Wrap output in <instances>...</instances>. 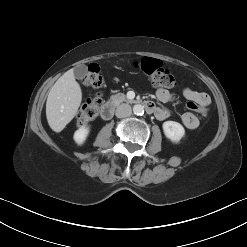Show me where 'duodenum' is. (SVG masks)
<instances>
[{
	"instance_id": "duodenum-1",
	"label": "duodenum",
	"mask_w": 247,
	"mask_h": 247,
	"mask_svg": "<svg viewBox=\"0 0 247 247\" xmlns=\"http://www.w3.org/2000/svg\"><path fill=\"white\" fill-rule=\"evenodd\" d=\"M144 106H145L147 111L152 112V113H154L157 109L155 104L150 102V101H146L144 103ZM114 111H115L114 103L113 102H107L102 107L101 116L104 120H108L113 116Z\"/></svg>"
}]
</instances>
